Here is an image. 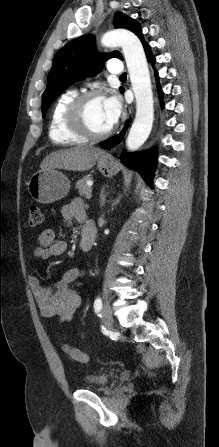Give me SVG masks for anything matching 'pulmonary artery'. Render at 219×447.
Masks as SVG:
<instances>
[{"mask_svg": "<svg viewBox=\"0 0 219 447\" xmlns=\"http://www.w3.org/2000/svg\"><path fill=\"white\" fill-rule=\"evenodd\" d=\"M108 72L111 75H121L123 71L122 63L119 59H110L107 63Z\"/></svg>", "mask_w": 219, "mask_h": 447, "instance_id": "pulmonary-artery-1", "label": "pulmonary artery"}]
</instances>
